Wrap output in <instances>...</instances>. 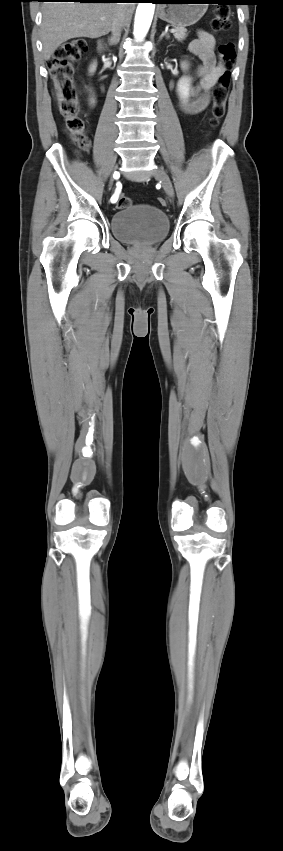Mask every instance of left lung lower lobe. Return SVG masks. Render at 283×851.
<instances>
[{
  "mask_svg": "<svg viewBox=\"0 0 283 851\" xmlns=\"http://www.w3.org/2000/svg\"><path fill=\"white\" fill-rule=\"evenodd\" d=\"M152 1H153V3H161L160 2L161 0H152ZM215 1H217L219 4H224V5H236L239 2V0H215Z\"/></svg>",
  "mask_w": 283,
  "mask_h": 851,
  "instance_id": "1",
  "label": "left lung lower lobe"
}]
</instances>
